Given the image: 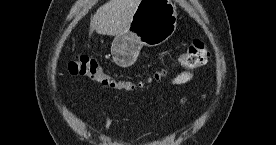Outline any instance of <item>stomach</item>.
<instances>
[{"label":"stomach","mask_w":276,"mask_h":145,"mask_svg":"<svg viewBox=\"0 0 276 145\" xmlns=\"http://www.w3.org/2000/svg\"><path fill=\"white\" fill-rule=\"evenodd\" d=\"M177 27V11L169 0H140L126 30L116 35L111 44L114 62L129 67L145 45L159 46Z\"/></svg>","instance_id":"0dacf381"}]
</instances>
